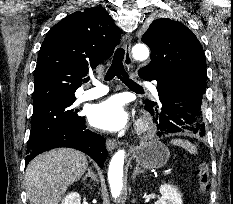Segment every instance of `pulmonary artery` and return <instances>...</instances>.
Returning <instances> with one entry per match:
<instances>
[{
	"label": "pulmonary artery",
	"mask_w": 233,
	"mask_h": 204,
	"mask_svg": "<svg viewBox=\"0 0 233 204\" xmlns=\"http://www.w3.org/2000/svg\"><path fill=\"white\" fill-rule=\"evenodd\" d=\"M141 84L145 85L152 92L157 94L156 88L150 82L142 81ZM92 85H93L92 88L83 92V94L80 96V100L82 101L93 100V99H96V98H99L105 95L108 92L107 86H105L104 84H102L100 81L96 79L92 80Z\"/></svg>",
	"instance_id": "1"
}]
</instances>
